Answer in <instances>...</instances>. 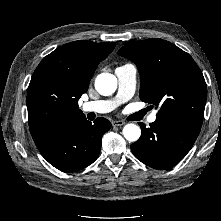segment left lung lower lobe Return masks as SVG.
Wrapping results in <instances>:
<instances>
[{
	"label": "left lung lower lobe",
	"instance_id": "1",
	"mask_svg": "<svg viewBox=\"0 0 221 221\" xmlns=\"http://www.w3.org/2000/svg\"><path fill=\"white\" fill-rule=\"evenodd\" d=\"M140 139L131 144L134 156L154 169L177 165L192 148L201 125L175 119L157 118L149 128L139 123Z\"/></svg>",
	"mask_w": 221,
	"mask_h": 221
}]
</instances>
